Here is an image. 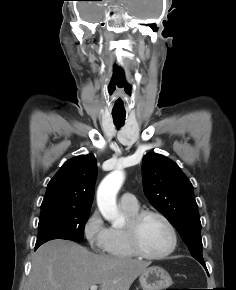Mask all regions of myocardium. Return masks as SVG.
<instances>
[{
	"label": "myocardium",
	"instance_id": "myocardium-1",
	"mask_svg": "<svg viewBox=\"0 0 236 290\" xmlns=\"http://www.w3.org/2000/svg\"><path fill=\"white\" fill-rule=\"evenodd\" d=\"M148 216H155L159 218L160 220H162L170 232L171 244L169 248L162 253L150 254V253H147L141 246L139 231H140V227L143 220ZM125 233H126L129 246L131 250L133 251V253L140 258H144L148 260H160V259H164L168 257L175 251L178 244L177 231L174 225L172 224V222L168 219L166 215L153 209L140 210L136 212L134 215H132L129 218L127 226L125 227Z\"/></svg>",
	"mask_w": 236,
	"mask_h": 290
}]
</instances>
